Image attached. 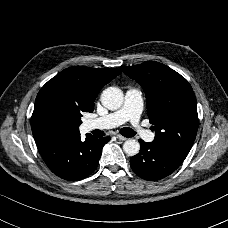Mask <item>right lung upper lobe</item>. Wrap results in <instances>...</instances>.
Returning a JSON list of instances; mask_svg holds the SVG:
<instances>
[{"mask_svg":"<svg viewBox=\"0 0 228 228\" xmlns=\"http://www.w3.org/2000/svg\"><path fill=\"white\" fill-rule=\"evenodd\" d=\"M115 68L95 69L84 66H73L58 73L45 86L62 89L77 104L82 112H92L94 101L101 88L119 75ZM37 144L44 141L35 140Z\"/></svg>","mask_w":228,"mask_h":228,"instance_id":"cb5924a9","label":"right lung upper lobe"}]
</instances>
